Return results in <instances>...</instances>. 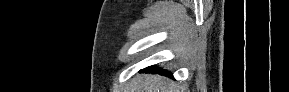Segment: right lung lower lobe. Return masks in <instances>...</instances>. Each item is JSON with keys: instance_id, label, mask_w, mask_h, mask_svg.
I'll list each match as a JSON object with an SVG mask.
<instances>
[{"instance_id": "obj_1", "label": "right lung lower lobe", "mask_w": 289, "mask_h": 92, "mask_svg": "<svg viewBox=\"0 0 289 92\" xmlns=\"http://www.w3.org/2000/svg\"><path fill=\"white\" fill-rule=\"evenodd\" d=\"M143 71H146V72H160V73H163L165 75H169L168 72H166V71L164 72V71H162V69H159V68H157L155 66H150L148 68H145Z\"/></svg>"}]
</instances>
